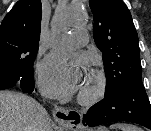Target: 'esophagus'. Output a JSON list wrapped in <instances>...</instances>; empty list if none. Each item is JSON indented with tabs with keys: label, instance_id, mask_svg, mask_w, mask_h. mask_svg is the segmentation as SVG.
I'll list each match as a JSON object with an SVG mask.
<instances>
[{
	"label": "esophagus",
	"instance_id": "34e87169",
	"mask_svg": "<svg viewBox=\"0 0 151 131\" xmlns=\"http://www.w3.org/2000/svg\"><path fill=\"white\" fill-rule=\"evenodd\" d=\"M53 116L60 124L72 130H76L82 122L81 114L75 110L55 108Z\"/></svg>",
	"mask_w": 151,
	"mask_h": 131
}]
</instances>
